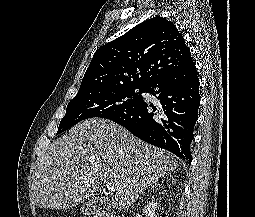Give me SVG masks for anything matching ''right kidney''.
<instances>
[{"instance_id": "1", "label": "right kidney", "mask_w": 255, "mask_h": 217, "mask_svg": "<svg viewBox=\"0 0 255 217\" xmlns=\"http://www.w3.org/2000/svg\"><path fill=\"white\" fill-rule=\"evenodd\" d=\"M156 210L157 202H151L144 207L143 212L145 213L146 217H157Z\"/></svg>"}]
</instances>
